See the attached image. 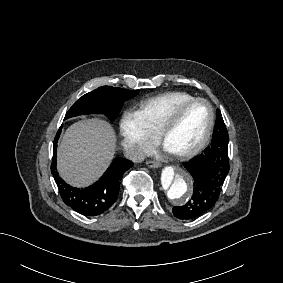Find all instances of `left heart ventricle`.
<instances>
[{
	"instance_id": "obj_1",
	"label": "left heart ventricle",
	"mask_w": 283,
	"mask_h": 283,
	"mask_svg": "<svg viewBox=\"0 0 283 283\" xmlns=\"http://www.w3.org/2000/svg\"><path fill=\"white\" fill-rule=\"evenodd\" d=\"M165 115L166 128L169 130L165 135L164 147L173 155L194 147L202 137L209 121V111L204 103L191 104L181 113L169 109Z\"/></svg>"
}]
</instances>
